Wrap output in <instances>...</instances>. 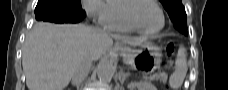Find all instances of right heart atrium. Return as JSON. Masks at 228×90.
Listing matches in <instances>:
<instances>
[{"label": "right heart atrium", "instance_id": "d8ad5b80", "mask_svg": "<svg viewBox=\"0 0 228 90\" xmlns=\"http://www.w3.org/2000/svg\"><path fill=\"white\" fill-rule=\"evenodd\" d=\"M82 6L88 16L105 25L109 17L108 2L104 0H83Z\"/></svg>", "mask_w": 228, "mask_h": 90}]
</instances>
